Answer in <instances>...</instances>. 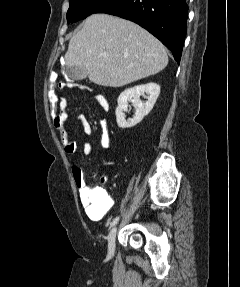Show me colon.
<instances>
[{"mask_svg": "<svg viewBox=\"0 0 240 287\" xmlns=\"http://www.w3.org/2000/svg\"><path fill=\"white\" fill-rule=\"evenodd\" d=\"M66 88H81L85 89L86 87L65 82V81H58V74L56 72H52L49 78V89L47 93V105L49 108V114L52 120L54 127L61 125L66 121L67 118V101L66 99L60 94V91ZM76 173L79 176V185L83 187V189L90 191L91 188L84 187V183L80 178V171L77 170Z\"/></svg>", "mask_w": 240, "mask_h": 287, "instance_id": "1", "label": "colon"}]
</instances>
